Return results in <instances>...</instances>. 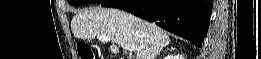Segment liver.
Segmentation results:
<instances>
[{
  "instance_id": "obj_1",
  "label": "liver",
  "mask_w": 261,
  "mask_h": 59,
  "mask_svg": "<svg viewBox=\"0 0 261 59\" xmlns=\"http://www.w3.org/2000/svg\"><path fill=\"white\" fill-rule=\"evenodd\" d=\"M76 38L94 39L108 36L112 44L109 51L119 52L117 44L124 43L137 48L136 59H155L168 46V34L150 22L114 8H92L76 14L71 21Z\"/></svg>"
}]
</instances>
